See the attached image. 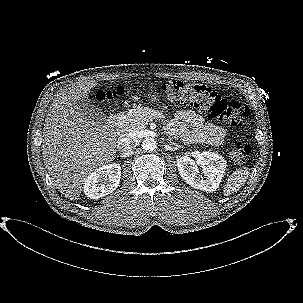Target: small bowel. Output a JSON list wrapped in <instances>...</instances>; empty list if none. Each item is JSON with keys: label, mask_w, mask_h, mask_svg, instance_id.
<instances>
[{"label": "small bowel", "mask_w": 303, "mask_h": 303, "mask_svg": "<svg viewBox=\"0 0 303 303\" xmlns=\"http://www.w3.org/2000/svg\"><path fill=\"white\" fill-rule=\"evenodd\" d=\"M167 131L179 134L186 143H208L214 146L221 145L226 135L222 127L206 123L202 116L189 109L179 111L168 122Z\"/></svg>", "instance_id": "1"}]
</instances>
